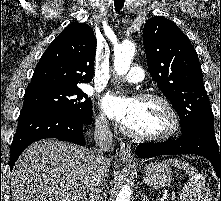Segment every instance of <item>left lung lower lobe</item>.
Wrapping results in <instances>:
<instances>
[{"mask_svg": "<svg viewBox=\"0 0 221 201\" xmlns=\"http://www.w3.org/2000/svg\"><path fill=\"white\" fill-rule=\"evenodd\" d=\"M140 158H150L160 155L196 154L207 158L213 165L221 180V142H217L214 131L193 127L183 132L174 141L161 143H140L136 150Z\"/></svg>", "mask_w": 221, "mask_h": 201, "instance_id": "left-lung-lower-lobe-1", "label": "left lung lower lobe"}]
</instances>
